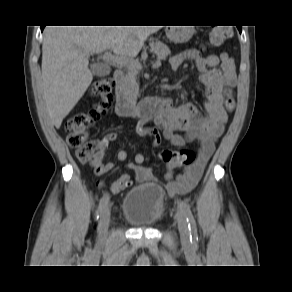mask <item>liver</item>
<instances>
[{
  "label": "liver",
  "instance_id": "liver-1",
  "mask_svg": "<svg viewBox=\"0 0 292 292\" xmlns=\"http://www.w3.org/2000/svg\"><path fill=\"white\" fill-rule=\"evenodd\" d=\"M159 26H47L43 32L42 80L52 123L63 119L82 98L93 80L88 68L92 53L112 50L135 57Z\"/></svg>",
  "mask_w": 292,
  "mask_h": 292
}]
</instances>
